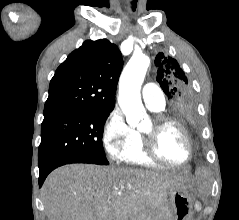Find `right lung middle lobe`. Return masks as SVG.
Returning <instances> with one entry per match:
<instances>
[{
    "label": "right lung middle lobe",
    "mask_w": 239,
    "mask_h": 220,
    "mask_svg": "<svg viewBox=\"0 0 239 220\" xmlns=\"http://www.w3.org/2000/svg\"><path fill=\"white\" fill-rule=\"evenodd\" d=\"M111 111L88 110L44 114L39 168L58 161L109 164L103 144V127Z\"/></svg>",
    "instance_id": "1"
}]
</instances>
